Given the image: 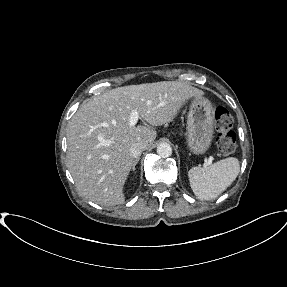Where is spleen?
I'll use <instances>...</instances> for the list:
<instances>
[{
	"label": "spleen",
	"mask_w": 287,
	"mask_h": 287,
	"mask_svg": "<svg viewBox=\"0 0 287 287\" xmlns=\"http://www.w3.org/2000/svg\"><path fill=\"white\" fill-rule=\"evenodd\" d=\"M240 171L237 158H226L208 167H192L188 172L192 191L200 200H212L224 192Z\"/></svg>",
	"instance_id": "3e777b00"
}]
</instances>
